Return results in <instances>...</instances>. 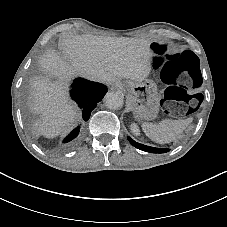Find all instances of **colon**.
I'll list each match as a JSON object with an SVG mask.
<instances>
[{
    "label": "colon",
    "instance_id": "obj_1",
    "mask_svg": "<svg viewBox=\"0 0 227 227\" xmlns=\"http://www.w3.org/2000/svg\"><path fill=\"white\" fill-rule=\"evenodd\" d=\"M150 62L165 85L161 105L170 115L189 114L197 110L200 95L192 90L201 83L199 58L190 50L179 53L161 41L150 45Z\"/></svg>",
    "mask_w": 227,
    "mask_h": 227
}]
</instances>
